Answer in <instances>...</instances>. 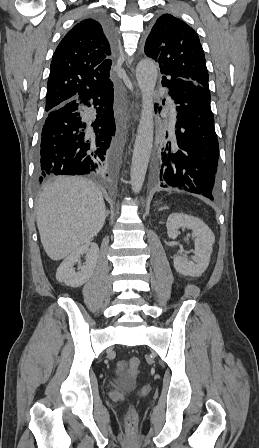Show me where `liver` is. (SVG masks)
<instances>
[{
    "label": "liver",
    "instance_id": "1",
    "mask_svg": "<svg viewBox=\"0 0 259 448\" xmlns=\"http://www.w3.org/2000/svg\"><path fill=\"white\" fill-rule=\"evenodd\" d=\"M36 210L40 240L51 260H63L97 236L107 216L102 192L79 176L47 184L36 200Z\"/></svg>",
    "mask_w": 259,
    "mask_h": 448
}]
</instances>
